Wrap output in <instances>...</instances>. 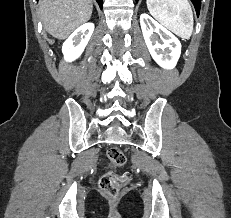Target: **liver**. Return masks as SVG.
<instances>
[{
	"label": "liver",
	"mask_w": 231,
	"mask_h": 218,
	"mask_svg": "<svg viewBox=\"0 0 231 218\" xmlns=\"http://www.w3.org/2000/svg\"><path fill=\"white\" fill-rule=\"evenodd\" d=\"M93 10L92 0H40L39 12L46 31L57 39L67 38L86 23Z\"/></svg>",
	"instance_id": "1"
}]
</instances>
